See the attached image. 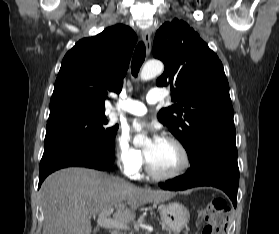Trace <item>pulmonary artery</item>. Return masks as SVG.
Listing matches in <instances>:
<instances>
[{"label":"pulmonary artery","mask_w":279,"mask_h":234,"mask_svg":"<svg viewBox=\"0 0 279 234\" xmlns=\"http://www.w3.org/2000/svg\"><path fill=\"white\" fill-rule=\"evenodd\" d=\"M165 98L164 91L155 89L150 91L146 96L148 104H155L162 101ZM116 109L132 115H143L147 112L146 105L135 99H127L116 106Z\"/></svg>","instance_id":"pulmonary-artery-1"}]
</instances>
